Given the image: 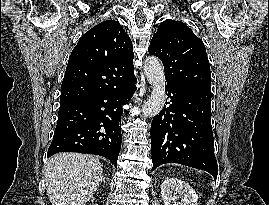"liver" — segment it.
I'll return each mask as SVG.
<instances>
[{
    "label": "liver",
    "instance_id": "obj_1",
    "mask_svg": "<svg viewBox=\"0 0 269 205\" xmlns=\"http://www.w3.org/2000/svg\"><path fill=\"white\" fill-rule=\"evenodd\" d=\"M103 174L100 161L90 155L59 153L47 164L45 182L52 205H85L93 196Z\"/></svg>",
    "mask_w": 269,
    "mask_h": 205
}]
</instances>
